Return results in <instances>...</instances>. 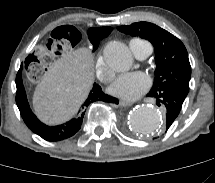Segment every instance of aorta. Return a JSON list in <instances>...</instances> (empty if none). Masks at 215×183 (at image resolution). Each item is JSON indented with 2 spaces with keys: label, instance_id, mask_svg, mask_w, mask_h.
<instances>
[{
  "label": "aorta",
  "instance_id": "762f6f07",
  "mask_svg": "<svg viewBox=\"0 0 215 183\" xmlns=\"http://www.w3.org/2000/svg\"><path fill=\"white\" fill-rule=\"evenodd\" d=\"M104 59L114 71L124 72L130 69L133 58L129 48L122 42L113 41L104 49ZM129 128L138 134L151 135L163 125V119L158 109L148 105L136 107L128 116Z\"/></svg>",
  "mask_w": 215,
  "mask_h": 183
}]
</instances>
